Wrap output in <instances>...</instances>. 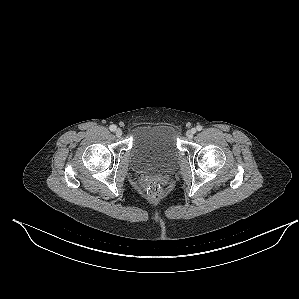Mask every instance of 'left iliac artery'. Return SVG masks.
<instances>
[{"mask_svg":"<svg viewBox=\"0 0 299 299\" xmlns=\"http://www.w3.org/2000/svg\"><path fill=\"white\" fill-rule=\"evenodd\" d=\"M196 129H197L198 131H201V130H202V126L198 125V126L196 127Z\"/></svg>","mask_w":299,"mask_h":299,"instance_id":"44dca946","label":"left iliac artery"}]
</instances>
